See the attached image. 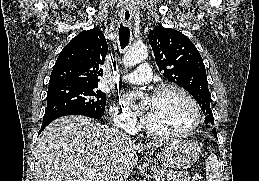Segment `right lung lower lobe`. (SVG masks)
Segmentation results:
<instances>
[{
  "instance_id": "98d812e1",
  "label": "right lung lower lobe",
  "mask_w": 259,
  "mask_h": 181,
  "mask_svg": "<svg viewBox=\"0 0 259 181\" xmlns=\"http://www.w3.org/2000/svg\"><path fill=\"white\" fill-rule=\"evenodd\" d=\"M66 115H83V116H88L94 119H100L103 114H96V113H92V112H88V111H83V110H68V111H64L58 115H56L55 117H52L50 119H46L43 121L41 129L39 131V133H41L42 130L45 129V127L51 123L53 120H55L56 118L62 117V116H66Z\"/></svg>"
}]
</instances>
